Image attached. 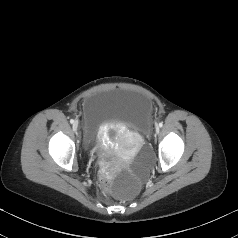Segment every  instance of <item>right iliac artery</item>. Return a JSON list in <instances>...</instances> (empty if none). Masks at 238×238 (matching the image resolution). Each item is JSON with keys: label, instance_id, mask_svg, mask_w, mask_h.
<instances>
[{"label": "right iliac artery", "instance_id": "1", "mask_svg": "<svg viewBox=\"0 0 238 238\" xmlns=\"http://www.w3.org/2000/svg\"><path fill=\"white\" fill-rule=\"evenodd\" d=\"M70 123H71V124H72V123H74V120H73V119H71V120H70Z\"/></svg>", "mask_w": 238, "mask_h": 238}]
</instances>
